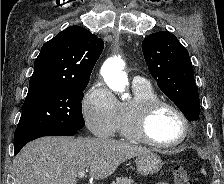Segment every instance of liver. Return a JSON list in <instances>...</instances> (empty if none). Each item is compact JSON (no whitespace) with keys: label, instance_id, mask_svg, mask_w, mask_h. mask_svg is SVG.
Listing matches in <instances>:
<instances>
[{"label":"liver","instance_id":"6515ba94","mask_svg":"<svg viewBox=\"0 0 224 184\" xmlns=\"http://www.w3.org/2000/svg\"><path fill=\"white\" fill-rule=\"evenodd\" d=\"M151 152L142 146L106 138L42 137L15 157L16 184H76L80 171L102 180L128 159Z\"/></svg>","mask_w":224,"mask_h":184}]
</instances>
